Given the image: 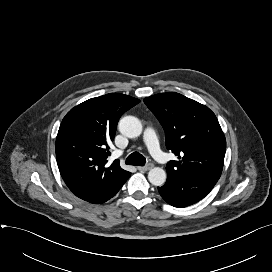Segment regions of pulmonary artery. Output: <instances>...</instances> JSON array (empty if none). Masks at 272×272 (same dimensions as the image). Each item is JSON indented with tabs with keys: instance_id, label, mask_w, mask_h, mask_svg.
<instances>
[{
	"instance_id": "1",
	"label": "pulmonary artery",
	"mask_w": 272,
	"mask_h": 272,
	"mask_svg": "<svg viewBox=\"0 0 272 272\" xmlns=\"http://www.w3.org/2000/svg\"><path fill=\"white\" fill-rule=\"evenodd\" d=\"M144 142L152 156L161 163L168 161L167 156L161 151L156 133L153 128L147 127L144 131Z\"/></svg>"
}]
</instances>
